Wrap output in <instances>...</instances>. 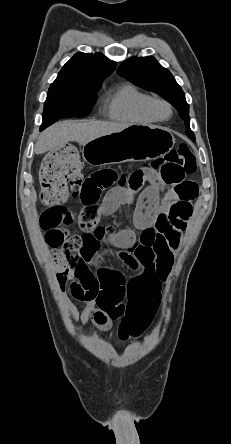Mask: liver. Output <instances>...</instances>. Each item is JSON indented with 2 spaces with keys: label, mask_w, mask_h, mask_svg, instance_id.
<instances>
[{
  "label": "liver",
  "mask_w": 231,
  "mask_h": 444,
  "mask_svg": "<svg viewBox=\"0 0 231 444\" xmlns=\"http://www.w3.org/2000/svg\"><path fill=\"white\" fill-rule=\"evenodd\" d=\"M128 126V124L104 121L77 122L66 120L58 122L40 135L35 145V153L43 154L57 147H63L70 141L78 142L84 146L98 137L120 132Z\"/></svg>",
  "instance_id": "liver-1"
}]
</instances>
